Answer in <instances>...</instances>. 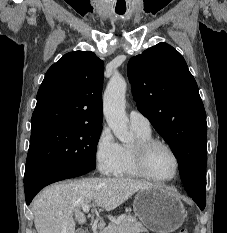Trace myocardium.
Masks as SVG:
<instances>
[{"label": "myocardium", "mask_w": 227, "mask_h": 233, "mask_svg": "<svg viewBox=\"0 0 227 233\" xmlns=\"http://www.w3.org/2000/svg\"><path fill=\"white\" fill-rule=\"evenodd\" d=\"M159 147L165 148L166 150H168L174 158L175 172L173 176L170 178H158L154 176L149 170V167H148L149 155L154 149L159 148ZM132 152H133L134 164H135L137 171L140 173L142 177L146 179H149L154 182H159V183H168V182L174 181L180 173L179 156L169 144L163 141L156 140V139L138 141L134 145Z\"/></svg>", "instance_id": "f54148a6"}]
</instances>
